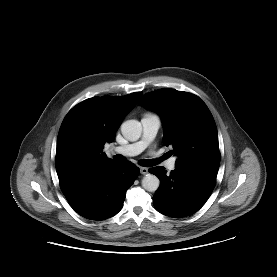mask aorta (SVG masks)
<instances>
[{"label": "aorta", "mask_w": 277, "mask_h": 277, "mask_svg": "<svg viewBox=\"0 0 277 277\" xmlns=\"http://www.w3.org/2000/svg\"><path fill=\"white\" fill-rule=\"evenodd\" d=\"M121 132L125 139L129 141H137L142 133V125L137 120H127L121 125ZM160 186L157 176L147 174L142 179V187L149 192H155Z\"/></svg>", "instance_id": "obj_1"}]
</instances>
